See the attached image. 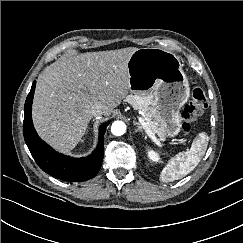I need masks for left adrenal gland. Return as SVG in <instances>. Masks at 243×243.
Instances as JSON below:
<instances>
[{
	"mask_svg": "<svg viewBox=\"0 0 243 243\" xmlns=\"http://www.w3.org/2000/svg\"><path fill=\"white\" fill-rule=\"evenodd\" d=\"M134 124L135 125H137V129L135 130V132H141V133H143V130H142V127L140 126V124L138 123V122H136V121H134Z\"/></svg>",
	"mask_w": 243,
	"mask_h": 243,
	"instance_id": "left-adrenal-gland-1",
	"label": "left adrenal gland"
}]
</instances>
